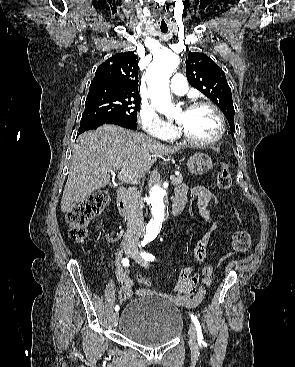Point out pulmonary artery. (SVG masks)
I'll list each match as a JSON object with an SVG mask.
<instances>
[{
	"label": "pulmonary artery",
	"mask_w": 295,
	"mask_h": 367,
	"mask_svg": "<svg viewBox=\"0 0 295 367\" xmlns=\"http://www.w3.org/2000/svg\"><path fill=\"white\" fill-rule=\"evenodd\" d=\"M170 89L175 94H185L188 90V83L185 76L181 73L174 74L171 79Z\"/></svg>",
	"instance_id": "1"
}]
</instances>
